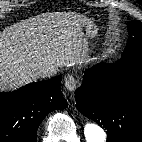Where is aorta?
Instances as JSON below:
<instances>
[{
	"mask_svg": "<svg viewBox=\"0 0 142 142\" xmlns=\"http://www.w3.org/2000/svg\"><path fill=\"white\" fill-rule=\"evenodd\" d=\"M84 135L87 142H105V131L94 123H87L84 127Z\"/></svg>",
	"mask_w": 142,
	"mask_h": 142,
	"instance_id": "aorta-1",
	"label": "aorta"
}]
</instances>
